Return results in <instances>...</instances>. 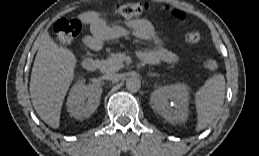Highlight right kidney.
I'll list each match as a JSON object with an SVG mask.
<instances>
[{"mask_svg":"<svg viewBox=\"0 0 259 156\" xmlns=\"http://www.w3.org/2000/svg\"><path fill=\"white\" fill-rule=\"evenodd\" d=\"M102 88L97 84L85 85V80L80 79L71 88L67 100V110L76 119L90 117L98 108Z\"/></svg>","mask_w":259,"mask_h":156,"instance_id":"1","label":"right kidney"}]
</instances>
